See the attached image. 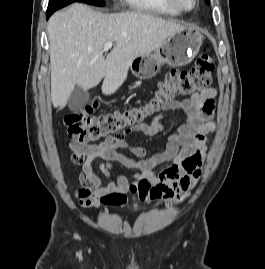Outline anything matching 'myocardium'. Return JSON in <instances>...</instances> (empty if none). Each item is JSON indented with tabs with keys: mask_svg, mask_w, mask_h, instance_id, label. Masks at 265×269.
Wrapping results in <instances>:
<instances>
[{
	"mask_svg": "<svg viewBox=\"0 0 265 269\" xmlns=\"http://www.w3.org/2000/svg\"><path fill=\"white\" fill-rule=\"evenodd\" d=\"M164 2L169 6L173 7L174 9L178 10L179 12H190L197 5V0H192V4L190 7L182 5L179 0H164Z\"/></svg>",
	"mask_w": 265,
	"mask_h": 269,
	"instance_id": "1",
	"label": "myocardium"
}]
</instances>
